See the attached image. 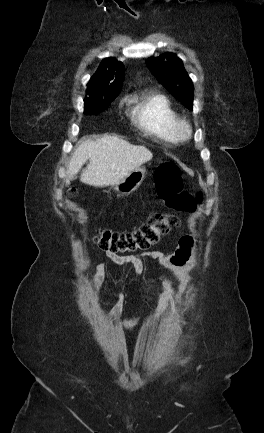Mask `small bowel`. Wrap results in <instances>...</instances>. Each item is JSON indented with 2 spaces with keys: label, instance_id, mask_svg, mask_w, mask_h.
Here are the masks:
<instances>
[{
  "label": "small bowel",
  "instance_id": "obj_1",
  "mask_svg": "<svg viewBox=\"0 0 264 433\" xmlns=\"http://www.w3.org/2000/svg\"><path fill=\"white\" fill-rule=\"evenodd\" d=\"M119 268L126 269L127 266H132L137 275L143 276L146 271L144 259L149 258L156 260L160 266L170 270L179 280L178 293L173 289L171 282L165 277H160L162 292L158 295L154 310L151 314L150 321L156 322L163 315L167 305L170 302L176 301L179 294L184 290L189 278V271L196 264L197 250L192 237L184 236L179 239L178 247L172 254H164L159 250L147 251L140 255H115L107 253ZM106 278V266L104 262L97 265L96 272L90 276L89 281L92 284L100 285ZM126 303V293L121 291L117 295L115 305L109 314V320L116 321L121 317L122 310ZM138 314L123 321L122 326L127 331H132L137 323Z\"/></svg>",
  "mask_w": 264,
  "mask_h": 433
}]
</instances>
